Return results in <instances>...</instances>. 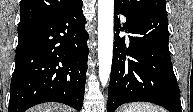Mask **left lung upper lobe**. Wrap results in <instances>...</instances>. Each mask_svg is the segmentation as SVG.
<instances>
[{
    "mask_svg": "<svg viewBox=\"0 0 193 112\" xmlns=\"http://www.w3.org/2000/svg\"><path fill=\"white\" fill-rule=\"evenodd\" d=\"M114 7L127 16L167 13L165 0H115Z\"/></svg>",
    "mask_w": 193,
    "mask_h": 112,
    "instance_id": "left-lung-upper-lobe-1",
    "label": "left lung upper lobe"
}]
</instances>
